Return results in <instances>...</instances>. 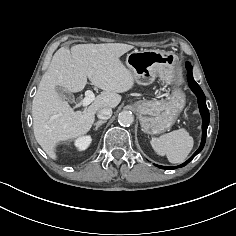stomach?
I'll return each instance as SVG.
<instances>
[{"instance_id":"stomach-1","label":"stomach","mask_w":236,"mask_h":236,"mask_svg":"<svg viewBox=\"0 0 236 236\" xmlns=\"http://www.w3.org/2000/svg\"><path fill=\"white\" fill-rule=\"evenodd\" d=\"M126 65L132 71L136 83L151 84L157 76L167 83L176 80L174 58L159 50H134L127 55ZM185 105V95L175 88L164 101H138L135 103L142 131L160 134L169 129Z\"/></svg>"}]
</instances>
